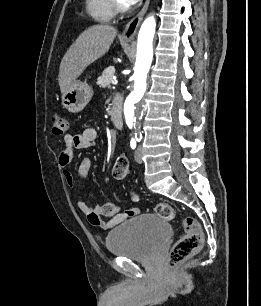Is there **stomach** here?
<instances>
[{"mask_svg": "<svg viewBox=\"0 0 261 306\" xmlns=\"http://www.w3.org/2000/svg\"><path fill=\"white\" fill-rule=\"evenodd\" d=\"M93 96L92 87L80 80H76L63 94L62 105L72 113L81 112Z\"/></svg>", "mask_w": 261, "mask_h": 306, "instance_id": "1", "label": "stomach"}]
</instances>
